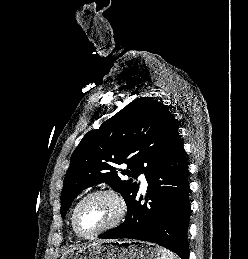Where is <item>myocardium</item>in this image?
Returning a JSON list of instances; mask_svg holds the SVG:
<instances>
[{
  "instance_id": "myocardium-1",
  "label": "myocardium",
  "mask_w": 248,
  "mask_h": 259,
  "mask_svg": "<svg viewBox=\"0 0 248 259\" xmlns=\"http://www.w3.org/2000/svg\"><path fill=\"white\" fill-rule=\"evenodd\" d=\"M98 195H107V196L112 197L117 202L118 213H117L116 217L113 219V221H111L106 226L102 227L101 229H99L98 231H96L94 233L85 234L78 227L77 213H78L79 208L85 201H87L88 199H90L92 197L98 196ZM126 214H127V204H126V201L123 198V196L112 188H101V189H96L94 191L89 192L83 198L80 199V201L76 204V206L73 210L72 217H71V223H72V227H73L75 233L78 236L85 238V239H92V238H95V237L117 227L124 220Z\"/></svg>"
}]
</instances>
